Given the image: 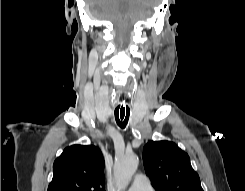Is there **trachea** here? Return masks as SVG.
<instances>
[{
  "mask_svg": "<svg viewBox=\"0 0 245 191\" xmlns=\"http://www.w3.org/2000/svg\"><path fill=\"white\" fill-rule=\"evenodd\" d=\"M115 120L117 125L124 129L128 123L130 116V107L125 98H122L117 107L115 108Z\"/></svg>",
  "mask_w": 245,
  "mask_h": 191,
  "instance_id": "trachea-1",
  "label": "trachea"
}]
</instances>
